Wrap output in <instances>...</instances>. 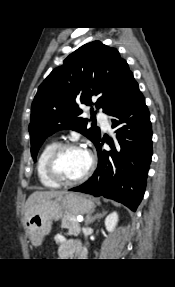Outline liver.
Listing matches in <instances>:
<instances>
[{
    "label": "liver",
    "mask_w": 175,
    "mask_h": 287,
    "mask_svg": "<svg viewBox=\"0 0 175 287\" xmlns=\"http://www.w3.org/2000/svg\"><path fill=\"white\" fill-rule=\"evenodd\" d=\"M66 194L65 191H35L33 192L27 199L24 207L25 216L28 212L37 204L41 203L42 201L60 197Z\"/></svg>",
    "instance_id": "1"
}]
</instances>
